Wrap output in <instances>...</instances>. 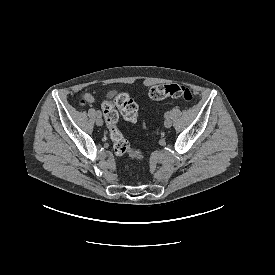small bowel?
<instances>
[{
	"mask_svg": "<svg viewBox=\"0 0 275 275\" xmlns=\"http://www.w3.org/2000/svg\"><path fill=\"white\" fill-rule=\"evenodd\" d=\"M85 99H86L88 102H93V101H94V98H93L91 95H89V94H87V95L85 96Z\"/></svg>",
	"mask_w": 275,
	"mask_h": 275,
	"instance_id": "c3829d8e",
	"label": "small bowel"
}]
</instances>
